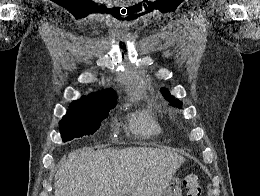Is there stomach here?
Returning a JSON list of instances; mask_svg holds the SVG:
<instances>
[{
  "mask_svg": "<svg viewBox=\"0 0 260 196\" xmlns=\"http://www.w3.org/2000/svg\"><path fill=\"white\" fill-rule=\"evenodd\" d=\"M168 185H181V180H168ZM166 192L161 193V196H181L180 187H166Z\"/></svg>",
  "mask_w": 260,
  "mask_h": 196,
  "instance_id": "stomach-1",
  "label": "stomach"
}]
</instances>
